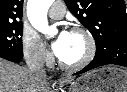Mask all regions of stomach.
<instances>
[{"label": "stomach", "instance_id": "0dacf381", "mask_svg": "<svg viewBox=\"0 0 127 92\" xmlns=\"http://www.w3.org/2000/svg\"><path fill=\"white\" fill-rule=\"evenodd\" d=\"M70 92H127V71L105 66L76 79Z\"/></svg>", "mask_w": 127, "mask_h": 92}]
</instances>
